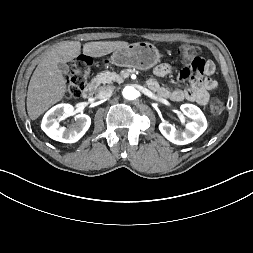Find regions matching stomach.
<instances>
[{
    "mask_svg": "<svg viewBox=\"0 0 253 253\" xmlns=\"http://www.w3.org/2000/svg\"><path fill=\"white\" fill-rule=\"evenodd\" d=\"M160 57L158 49L153 44L137 42L115 50L111 57L105 61V65L112 64L147 70L159 63Z\"/></svg>",
    "mask_w": 253,
    "mask_h": 253,
    "instance_id": "0dacf381",
    "label": "stomach"
}]
</instances>
